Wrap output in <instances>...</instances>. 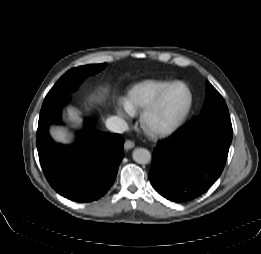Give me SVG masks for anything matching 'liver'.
I'll return each instance as SVG.
<instances>
[{
	"label": "liver",
	"mask_w": 261,
	"mask_h": 254,
	"mask_svg": "<svg viewBox=\"0 0 261 254\" xmlns=\"http://www.w3.org/2000/svg\"><path fill=\"white\" fill-rule=\"evenodd\" d=\"M66 114H67V119L74 125L79 124L81 122V119L74 108L68 107ZM51 134L53 138L57 141L67 142L69 139L66 130L63 128L53 127L51 129Z\"/></svg>",
	"instance_id": "liver-1"
}]
</instances>
